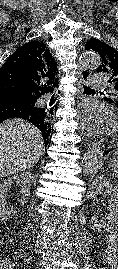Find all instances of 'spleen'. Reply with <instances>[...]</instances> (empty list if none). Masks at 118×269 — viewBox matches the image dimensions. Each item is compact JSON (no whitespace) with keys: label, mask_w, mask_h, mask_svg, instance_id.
Masks as SVG:
<instances>
[{"label":"spleen","mask_w":118,"mask_h":269,"mask_svg":"<svg viewBox=\"0 0 118 269\" xmlns=\"http://www.w3.org/2000/svg\"><path fill=\"white\" fill-rule=\"evenodd\" d=\"M112 170L116 176H118V152H115V156L111 163Z\"/></svg>","instance_id":"1"}]
</instances>
